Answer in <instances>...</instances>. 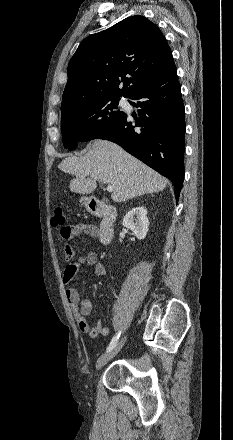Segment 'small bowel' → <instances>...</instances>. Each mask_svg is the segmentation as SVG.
Wrapping results in <instances>:
<instances>
[{
  "label": "small bowel",
  "mask_w": 233,
  "mask_h": 440,
  "mask_svg": "<svg viewBox=\"0 0 233 440\" xmlns=\"http://www.w3.org/2000/svg\"><path fill=\"white\" fill-rule=\"evenodd\" d=\"M60 233L65 241H70L80 235L96 238L98 230L94 224L80 223L64 226L61 228ZM63 253L67 262L72 260L75 255L73 247L68 243L63 246ZM82 265L93 266V276L95 277L103 276L106 273V267L98 260L96 252H87L76 263H70L63 272L62 283L66 286V298L82 333L88 334L92 338L108 335L110 330L101 321H97L93 326L88 323L86 318L92 311V304L88 299L82 298L79 291L72 286V281Z\"/></svg>",
  "instance_id": "c3829d8e"
}]
</instances>
